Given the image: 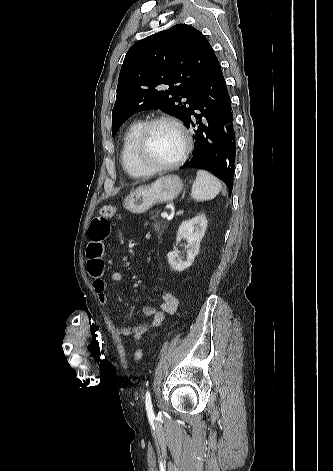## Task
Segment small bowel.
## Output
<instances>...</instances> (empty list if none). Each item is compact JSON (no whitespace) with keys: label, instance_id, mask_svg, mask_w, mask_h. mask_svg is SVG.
<instances>
[{"label":"small bowel","instance_id":"obj_1","mask_svg":"<svg viewBox=\"0 0 333 471\" xmlns=\"http://www.w3.org/2000/svg\"><path fill=\"white\" fill-rule=\"evenodd\" d=\"M108 218L99 215L92 219L88 229L89 243L86 251L87 270L93 278V287L101 304L108 303L106 293L108 284L104 279L105 266L103 261L104 241L109 237L111 231ZM110 279L113 282H121L123 275L119 271H114L111 273ZM158 299V308L150 306L143 308L144 320L140 324L130 328L120 327L117 329L118 333L129 340L137 341L149 329L159 327L166 316L175 313L178 307V299L173 293L163 292L158 296Z\"/></svg>","mask_w":333,"mask_h":471}]
</instances>
